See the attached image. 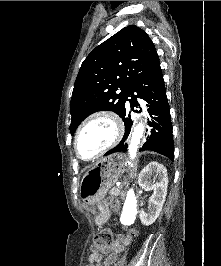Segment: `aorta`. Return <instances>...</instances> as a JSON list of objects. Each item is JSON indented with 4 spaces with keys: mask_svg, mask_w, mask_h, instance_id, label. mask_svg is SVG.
<instances>
[{
    "mask_svg": "<svg viewBox=\"0 0 221 266\" xmlns=\"http://www.w3.org/2000/svg\"><path fill=\"white\" fill-rule=\"evenodd\" d=\"M143 132H144V124L142 122H139L134 128V131L132 133V138L128 146V151L131 159H134L136 156L140 140L143 137ZM129 164L131 163L129 162ZM136 206H137V200L134 190L129 189L126 194V200L124 203L123 213L121 216V220L123 223L129 224L134 221L136 215Z\"/></svg>",
    "mask_w": 221,
    "mask_h": 266,
    "instance_id": "aorta-1",
    "label": "aorta"
}]
</instances>
